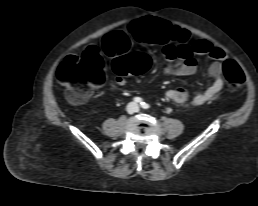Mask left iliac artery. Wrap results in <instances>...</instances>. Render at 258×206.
I'll list each match as a JSON object with an SVG mask.
<instances>
[{"instance_id":"44dca946","label":"left iliac artery","mask_w":258,"mask_h":206,"mask_svg":"<svg viewBox=\"0 0 258 206\" xmlns=\"http://www.w3.org/2000/svg\"><path fill=\"white\" fill-rule=\"evenodd\" d=\"M141 107L144 108V109H147V108H149V105L145 102H142Z\"/></svg>"}]
</instances>
